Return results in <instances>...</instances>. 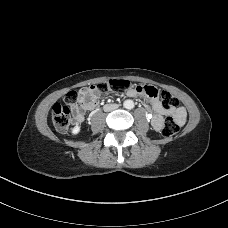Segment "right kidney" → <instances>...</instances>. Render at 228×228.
I'll return each mask as SVG.
<instances>
[{
  "label": "right kidney",
  "instance_id": "ca27d5eb",
  "mask_svg": "<svg viewBox=\"0 0 228 228\" xmlns=\"http://www.w3.org/2000/svg\"><path fill=\"white\" fill-rule=\"evenodd\" d=\"M79 132H80V126H79V125L75 126V127L72 129V134H73V135H76V134H78Z\"/></svg>",
  "mask_w": 228,
  "mask_h": 228
}]
</instances>
